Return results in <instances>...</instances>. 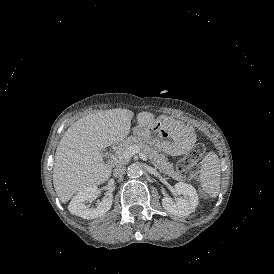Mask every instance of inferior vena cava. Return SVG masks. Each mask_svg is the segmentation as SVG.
I'll use <instances>...</instances> for the list:
<instances>
[{
	"mask_svg": "<svg viewBox=\"0 0 274 274\" xmlns=\"http://www.w3.org/2000/svg\"><path fill=\"white\" fill-rule=\"evenodd\" d=\"M125 172H126V167L124 166H119V167H116L113 171V176L115 178H120V177H123L125 175Z\"/></svg>",
	"mask_w": 274,
	"mask_h": 274,
	"instance_id": "602c4592",
	"label": "inferior vena cava"
}]
</instances>
